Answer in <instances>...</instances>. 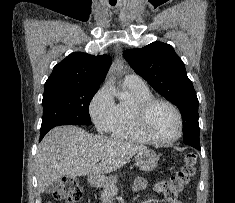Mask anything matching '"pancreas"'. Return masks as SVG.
<instances>
[{
  "mask_svg": "<svg viewBox=\"0 0 235 203\" xmlns=\"http://www.w3.org/2000/svg\"><path fill=\"white\" fill-rule=\"evenodd\" d=\"M118 188L115 183L110 184L101 192V200L103 203H109L110 200L117 194Z\"/></svg>",
  "mask_w": 235,
  "mask_h": 203,
  "instance_id": "obj_1",
  "label": "pancreas"
}]
</instances>
